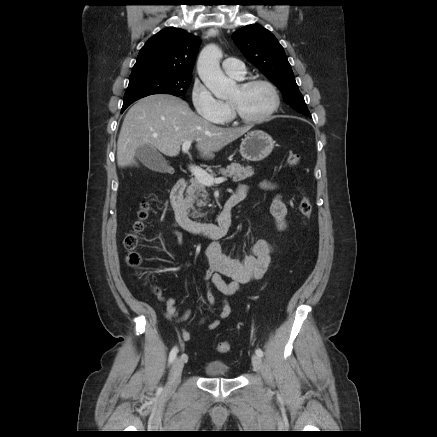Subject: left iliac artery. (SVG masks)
Wrapping results in <instances>:
<instances>
[{"instance_id":"1","label":"left iliac artery","mask_w":437,"mask_h":437,"mask_svg":"<svg viewBox=\"0 0 437 437\" xmlns=\"http://www.w3.org/2000/svg\"><path fill=\"white\" fill-rule=\"evenodd\" d=\"M255 352L258 356H260V357L263 356V351L260 348L256 349Z\"/></svg>"}]
</instances>
